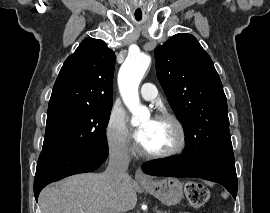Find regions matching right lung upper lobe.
Instances as JSON below:
<instances>
[{"label": "right lung upper lobe", "mask_w": 270, "mask_h": 213, "mask_svg": "<svg viewBox=\"0 0 270 213\" xmlns=\"http://www.w3.org/2000/svg\"><path fill=\"white\" fill-rule=\"evenodd\" d=\"M115 54L103 40L84 39L64 62L48 109L112 106Z\"/></svg>", "instance_id": "1"}]
</instances>
